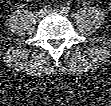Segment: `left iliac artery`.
Segmentation results:
<instances>
[{
    "label": "left iliac artery",
    "instance_id": "obj_1",
    "mask_svg": "<svg viewBox=\"0 0 111 106\" xmlns=\"http://www.w3.org/2000/svg\"><path fill=\"white\" fill-rule=\"evenodd\" d=\"M64 13L68 14L70 12V8L68 6L63 8Z\"/></svg>",
    "mask_w": 111,
    "mask_h": 106
}]
</instances>
